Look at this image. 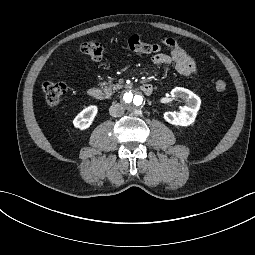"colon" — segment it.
<instances>
[{
    "label": "colon",
    "instance_id": "obj_1",
    "mask_svg": "<svg viewBox=\"0 0 255 255\" xmlns=\"http://www.w3.org/2000/svg\"><path fill=\"white\" fill-rule=\"evenodd\" d=\"M127 49L137 54H151L161 51V46L154 43L143 41L137 35H133L126 41ZM80 51L94 61H101L105 56V48L96 39H90L80 45ZM45 99L48 105L55 106L59 104L61 98L67 91V86L64 82H45L42 86ZM215 89L218 92H223L226 89V82L217 80Z\"/></svg>",
    "mask_w": 255,
    "mask_h": 255
}]
</instances>
